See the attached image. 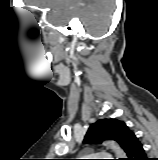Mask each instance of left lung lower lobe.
<instances>
[{
    "label": "left lung lower lobe",
    "mask_w": 158,
    "mask_h": 160,
    "mask_svg": "<svg viewBox=\"0 0 158 160\" xmlns=\"http://www.w3.org/2000/svg\"><path fill=\"white\" fill-rule=\"evenodd\" d=\"M127 158L124 160H148L139 139L132 133L126 142L125 149Z\"/></svg>",
    "instance_id": "0a47b994"
}]
</instances>
